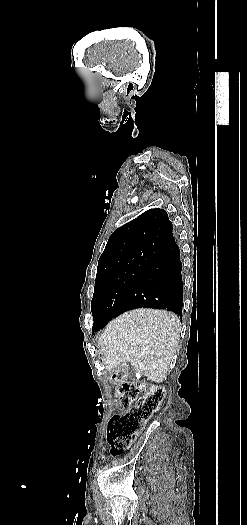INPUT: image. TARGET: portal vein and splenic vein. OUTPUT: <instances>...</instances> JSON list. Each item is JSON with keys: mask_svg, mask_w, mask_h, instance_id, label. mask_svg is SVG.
I'll list each match as a JSON object with an SVG mask.
<instances>
[{"mask_svg": "<svg viewBox=\"0 0 247 525\" xmlns=\"http://www.w3.org/2000/svg\"><path fill=\"white\" fill-rule=\"evenodd\" d=\"M132 346H135V343H132Z\"/></svg>", "mask_w": 247, "mask_h": 525, "instance_id": "portal-vein-and-splenic-vein-1", "label": "portal vein and splenic vein"}]
</instances>
